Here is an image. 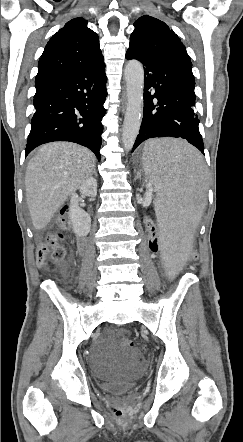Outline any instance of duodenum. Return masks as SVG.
<instances>
[{"instance_id":"410a0bca","label":"duodenum","mask_w":243,"mask_h":442,"mask_svg":"<svg viewBox=\"0 0 243 442\" xmlns=\"http://www.w3.org/2000/svg\"><path fill=\"white\" fill-rule=\"evenodd\" d=\"M80 245L82 246V247H84V245H85V241H84V239L83 238H80Z\"/></svg>"}]
</instances>
